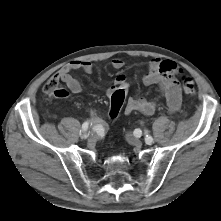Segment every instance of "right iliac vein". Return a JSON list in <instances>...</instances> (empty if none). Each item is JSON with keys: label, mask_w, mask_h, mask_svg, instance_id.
<instances>
[{"label": "right iliac vein", "mask_w": 221, "mask_h": 221, "mask_svg": "<svg viewBox=\"0 0 221 221\" xmlns=\"http://www.w3.org/2000/svg\"><path fill=\"white\" fill-rule=\"evenodd\" d=\"M97 139V136L95 133H90L88 136V143L93 144Z\"/></svg>", "instance_id": "obj_1"}]
</instances>
